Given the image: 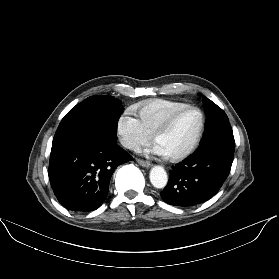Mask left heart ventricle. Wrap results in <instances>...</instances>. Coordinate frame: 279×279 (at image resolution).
Returning a JSON list of instances; mask_svg holds the SVG:
<instances>
[{"label": "left heart ventricle", "instance_id": "left-heart-ventricle-1", "mask_svg": "<svg viewBox=\"0 0 279 279\" xmlns=\"http://www.w3.org/2000/svg\"><path fill=\"white\" fill-rule=\"evenodd\" d=\"M199 126V114L195 110H186L174 121L171 128L156 143L159 144L167 156L183 152L191 143Z\"/></svg>", "mask_w": 279, "mask_h": 279}]
</instances>
